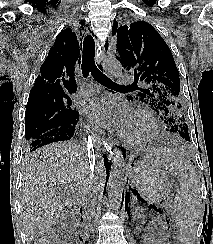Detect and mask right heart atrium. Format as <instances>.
Listing matches in <instances>:
<instances>
[{"label":"right heart atrium","mask_w":213,"mask_h":244,"mask_svg":"<svg viewBox=\"0 0 213 244\" xmlns=\"http://www.w3.org/2000/svg\"><path fill=\"white\" fill-rule=\"evenodd\" d=\"M85 130H86L87 132H90V131H91L88 127H86Z\"/></svg>","instance_id":"obj_1"}]
</instances>
